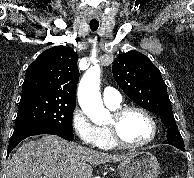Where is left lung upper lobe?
<instances>
[{
  "label": "left lung upper lobe",
  "instance_id": "left-lung-upper-lobe-1",
  "mask_svg": "<svg viewBox=\"0 0 194 178\" xmlns=\"http://www.w3.org/2000/svg\"><path fill=\"white\" fill-rule=\"evenodd\" d=\"M112 72L129 98L159 115L165 127L177 129L167 86L148 57L137 51L123 53L114 61Z\"/></svg>",
  "mask_w": 194,
  "mask_h": 178
}]
</instances>
